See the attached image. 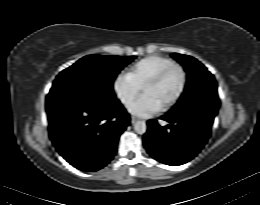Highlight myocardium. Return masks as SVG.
I'll list each match as a JSON object with an SVG mask.
<instances>
[{
	"instance_id": "1",
	"label": "myocardium",
	"mask_w": 260,
	"mask_h": 205,
	"mask_svg": "<svg viewBox=\"0 0 260 205\" xmlns=\"http://www.w3.org/2000/svg\"><path fill=\"white\" fill-rule=\"evenodd\" d=\"M173 71L180 72L181 78H182L181 85H180L178 91L176 92V94L165 105L160 107L163 111H167V110L171 109L172 107H174L182 99L183 95L185 94L186 89L188 87V80H189L186 69L183 66L178 65V64L172 65V66L162 70L158 74H156V76L147 85V89H150L154 85L160 83L168 74H170Z\"/></svg>"
}]
</instances>
